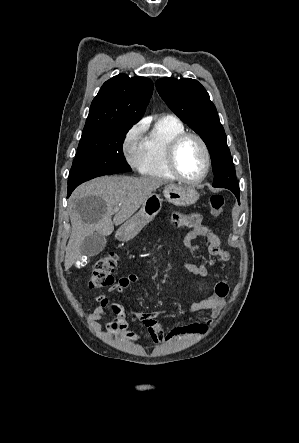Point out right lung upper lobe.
<instances>
[{"instance_id":"cb5924a9","label":"right lung upper lobe","mask_w":299,"mask_h":443,"mask_svg":"<svg viewBox=\"0 0 299 443\" xmlns=\"http://www.w3.org/2000/svg\"><path fill=\"white\" fill-rule=\"evenodd\" d=\"M153 91L146 77L119 74L106 81L92 101L83 133L114 125H133L145 113Z\"/></svg>"}]
</instances>
